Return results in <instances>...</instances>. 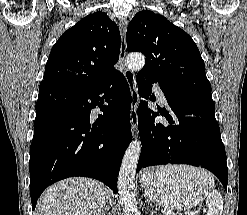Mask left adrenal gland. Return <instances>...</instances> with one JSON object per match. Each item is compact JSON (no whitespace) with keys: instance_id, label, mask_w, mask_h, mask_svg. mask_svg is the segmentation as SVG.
<instances>
[{"instance_id":"a2214340","label":"left adrenal gland","mask_w":247,"mask_h":215,"mask_svg":"<svg viewBox=\"0 0 247 215\" xmlns=\"http://www.w3.org/2000/svg\"><path fill=\"white\" fill-rule=\"evenodd\" d=\"M145 203H146V205H148V206H152V204L150 203V201L145 197Z\"/></svg>"}]
</instances>
